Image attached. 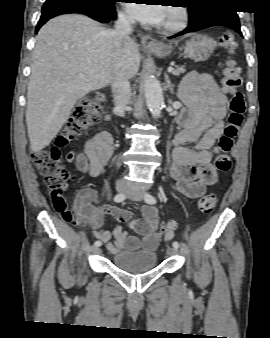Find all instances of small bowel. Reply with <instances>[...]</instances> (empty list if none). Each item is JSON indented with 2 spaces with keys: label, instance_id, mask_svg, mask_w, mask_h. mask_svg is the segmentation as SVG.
<instances>
[{
  "label": "small bowel",
  "instance_id": "small-bowel-1",
  "mask_svg": "<svg viewBox=\"0 0 270 338\" xmlns=\"http://www.w3.org/2000/svg\"><path fill=\"white\" fill-rule=\"evenodd\" d=\"M179 97L189 109L180 118L182 129L173 142L171 177L181 194L190 199H199L206 194L207 185L215 182L212 159L220 150L216 141L224 131L223 120L228 113V102L211 76L196 71L189 72L183 79ZM187 144H193L195 148L186 147ZM113 150L112 136L107 131H101L87 141L84 152H69L66 159L73 162L80 172L97 177L104 172ZM73 203L71 221L89 226L94 236L105 243L110 252L115 253L120 249L136 251L140 248L153 251L160 242L161 237L157 232L159 215L154 206L145 205L142 208L143 218L132 223L136 235H128L120 225L112 233L102 228L103 218L93 187L79 189L73 196ZM62 204L66 206L64 199ZM104 211L125 223L133 219L129 211L115 206H104Z\"/></svg>",
  "mask_w": 270,
  "mask_h": 338
}]
</instances>
